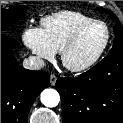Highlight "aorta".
Listing matches in <instances>:
<instances>
[{"instance_id":"obj_1","label":"aorta","mask_w":123,"mask_h":123,"mask_svg":"<svg viewBox=\"0 0 123 123\" xmlns=\"http://www.w3.org/2000/svg\"><path fill=\"white\" fill-rule=\"evenodd\" d=\"M60 101L59 93L55 89H45L41 93V102L46 107H55Z\"/></svg>"}]
</instances>
